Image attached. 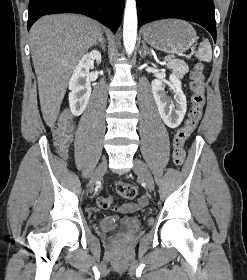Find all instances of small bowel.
Listing matches in <instances>:
<instances>
[{"label":"small bowel","instance_id":"small-bowel-1","mask_svg":"<svg viewBox=\"0 0 247 280\" xmlns=\"http://www.w3.org/2000/svg\"><path fill=\"white\" fill-rule=\"evenodd\" d=\"M104 201V205H101L100 202ZM147 198L146 196H141L136 202L134 203H128V204H123L121 206L116 207L115 209L121 212H130V211H136L139 210L147 205ZM98 206L103 209H107L111 206V199L110 198H99L98 201Z\"/></svg>","mask_w":247,"mask_h":280}]
</instances>
